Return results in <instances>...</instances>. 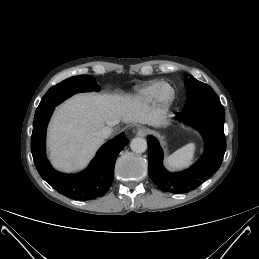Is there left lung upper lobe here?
I'll list each match as a JSON object with an SVG mask.
<instances>
[{
    "label": "left lung upper lobe",
    "mask_w": 259,
    "mask_h": 259,
    "mask_svg": "<svg viewBox=\"0 0 259 259\" xmlns=\"http://www.w3.org/2000/svg\"><path fill=\"white\" fill-rule=\"evenodd\" d=\"M185 87L187 90V102L184 111L220 104L214 90L209 85L195 79L192 75L185 78Z\"/></svg>",
    "instance_id": "obj_1"
}]
</instances>
